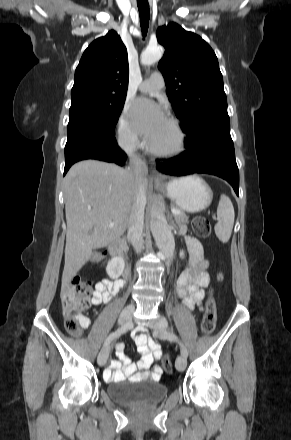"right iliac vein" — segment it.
Masks as SVG:
<instances>
[{
    "mask_svg": "<svg viewBox=\"0 0 291 440\" xmlns=\"http://www.w3.org/2000/svg\"><path fill=\"white\" fill-rule=\"evenodd\" d=\"M134 310H135V306L132 304L125 307L119 316L118 323L120 325H125L131 319ZM108 356H109V347L106 346L105 348H103L100 351V353L98 355V358H97L98 364L100 366L105 365V363L107 362Z\"/></svg>",
    "mask_w": 291,
    "mask_h": 440,
    "instance_id": "right-iliac-vein-1",
    "label": "right iliac vein"
}]
</instances>
